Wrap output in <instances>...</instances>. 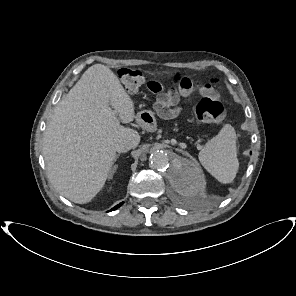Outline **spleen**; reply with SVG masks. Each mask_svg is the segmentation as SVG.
Wrapping results in <instances>:
<instances>
[{
	"label": "spleen",
	"mask_w": 296,
	"mask_h": 296,
	"mask_svg": "<svg viewBox=\"0 0 296 296\" xmlns=\"http://www.w3.org/2000/svg\"><path fill=\"white\" fill-rule=\"evenodd\" d=\"M202 166L221 183H230L238 171L237 144L234 128L226 124L209 140L198 155Z\"/></svg>",
	"instance_id": "obj_1"
}]
</instances>
